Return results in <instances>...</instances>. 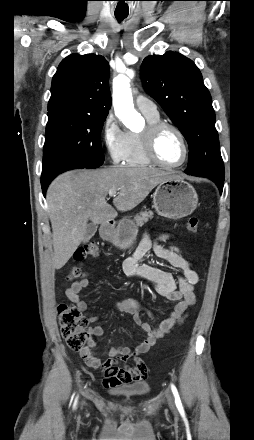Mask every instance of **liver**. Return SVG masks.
I'll use <instances>...</instances> for the list:
<instances>
[{"label": "liver", "mask_w": 254, "mask_h": 440, "mask_svg": "<svg viewBox=\"0 0 254 440\" xmlns=\"http://www.w3.org/2000/svg\"><path fill=\"white\" fill-rule=\"evenodd\" d=\"M174 175L146 167H110L73 170L55 178L46 200L52 226L54 267L62 268L83 241L88 221L103 224L117 217L107 203L109 190L118 195L113 205L129 211L139 205L162 181Z\"/></svg>", "instance_id": "6515ba94"}]
</instances>
